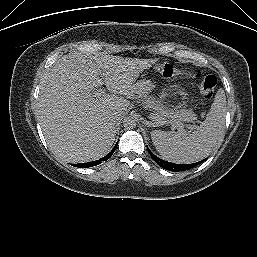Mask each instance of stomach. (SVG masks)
Masks as SVG:
<instances>
[{
    "label": "stomach",
    "instance_id": "obj_1",
    "mask_svg": "<svg viewBox=\"0 0 257 257\" xmlns=\"http://www.w3.org/2000/svg\"><path fill=\"white\" fill-rule=\"evenodd\" d=\"M136 86L137 94L145 96L154 89L155 84L151 80H141L137 82Z\"/></svg>",
    "mask_w": 257,
    "mask_h": 257
}]
</instances>
